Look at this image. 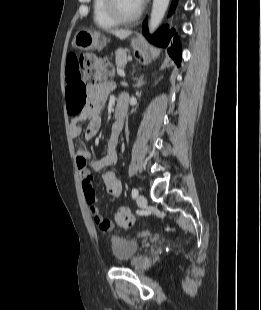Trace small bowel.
<instances>
[{"instance_id":"1","label":"small bowel","mask_w":261,"mask_h":310,"mask_svg":"<svg viewBox=\"0 0 261 310\" xmlns=\"http://www.w3.org/2000/svg\"><path fill=\"white\" fill-rule=\"evenodd\" d=\"M66 83V103L71 115L70 133L73 137L80 136L85 124V138L91 140L99 131L100 111L113 85L107 81L85 84L81 79L78 59L74 54H70L67 59ZM87 96L92 99V103L83 107ZM118 128L119 125L115 122L111 128L104 157L93 160L89 149L84 145H80L76 150V164L89 210L99 226L103 222L109 223L107 231L112 230L113 224L101 215L99 207L95 204L96 196L90 171L102 172L106 190L110 195L118 197L122 193L121 179L114 170L108 168L117 162L118 138L122 125L120 130Z\"/></svg>"}]
</instances>
